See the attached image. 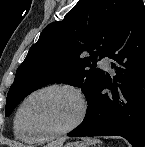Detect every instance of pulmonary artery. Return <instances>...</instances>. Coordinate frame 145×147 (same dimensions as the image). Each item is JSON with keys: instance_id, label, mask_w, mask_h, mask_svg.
I'll return each instance as SVG.
<instances>
[{"instance_id": "obj_1", "label": "pulmonary artery", "mask_w": 145, "mask_h": 147, "mask_svg": "<svg viewBox=\"0 0 145 147\" xmlns=\"http://www.w3.org/2000/svg\"><path fill=\"white\" fill-rule=\"evenodd\" d=\"M100 64L105 68V69H110L111 68V59L108 56L103 57L100 60Z\"/></svg>"}]
</instances>
